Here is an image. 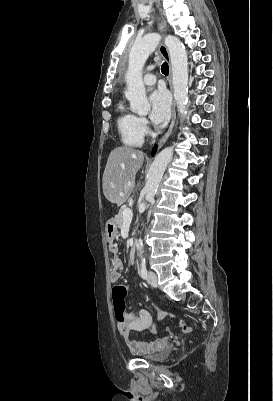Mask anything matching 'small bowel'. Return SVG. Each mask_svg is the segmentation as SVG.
<instances>
[{
	"mask_svg": "<svg viewBox=\"0 0 273 401\" xmlns=\"http://www.w3.org/2000/svg\"><path fill=\"white\" fill-rule=\"evenodd\" d=\"M111 264L112 267L110 271V280L111 282L116 283L120 280L121 277L120 269L123 266V261L119 256H114ZM153 310L155 312H158L160 310V307L158 305H155L153 307ZM158 315L160 317L169 316L170 318H173L175 316V313L173 311H170L169 313L160 312ZM176 322L178 323L176 326L178 328H182L180 331L183 334H190L192 332V329L189 327V324L186 322L185 319H178ZM116 327L120 336L129 344H132L134 342V339L130 337L131 333L134 331H151L152 333L157 332L150 313L144 309L140 310L137 314H127L126 321L124 323H117ZM167 346L168 339L167 337H164L153 341H145L132 344V349L143 354H156L164 350Z\"/></svg>",
	"mask_w": 273,
	"mask_h": 401,
	"instance_id": "small-bowel-1",
	"label": "small bowel"
}]
</instances>
